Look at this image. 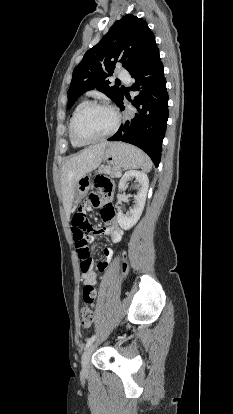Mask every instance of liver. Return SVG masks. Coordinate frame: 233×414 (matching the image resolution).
I'll return each instance as SVG.
<instances>
[{
  "label": "liver",
  "instance_id": "1",
  "mask_svg": "<svg viewBox=\"0 0 233 414\" xmlns=\"http://www.w3.org/2000/svg\"><path fill=\"white\" fill-rule=\"evenodd\" d=\"M110 143L101 142L74 155L61 169V186L63 206L67 217H70L75 187L78 182L89 172L95 170L102 162L106 147Z\"/></svg>",
  "mask_w": 233,
  "mask_h": 414
}]
</instances>
